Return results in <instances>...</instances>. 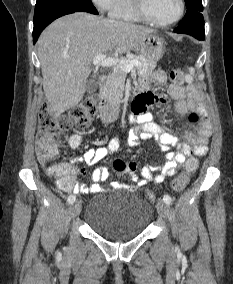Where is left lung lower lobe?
I'll use <instances>...</instances> for the list:
<instances>
[{"mask_svg": "<svg viewBox=\"0 0 233 284\" xmlns=\"http://www.w3.org/2000/svg\"><path fill=\"white\" fill-rule=\"evenodd\" d=\"M176 33L188 34L195 37L198 40L205 39L204 31V20H195L190 23L180 24L177 28L174 29Z\"/></svg>", "mask_w": 233, "mask_h": 284, "instance_id": "0a47b994", "label": "left lung lower lobe"}]
</instances>
